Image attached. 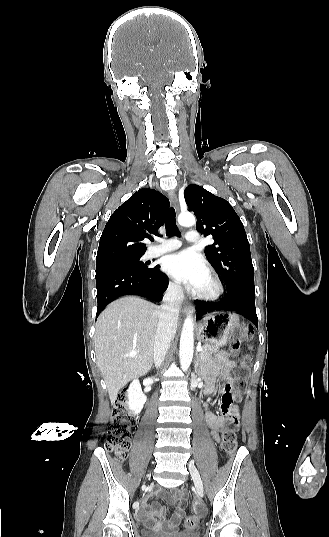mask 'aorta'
<instances>
[{"label": "aorta", "mask_w": 329, "mask_h": 537, "mask_svg": "<svg viewBox=\"0 0 329 537\" xmlns=\"http://www.w3.org/2000/svg\"><path fill=\"white\" fill-rule=\"evenodd\" d=\"M178 223L181 226H192L196 223L195 216L191 213H181L178 217ZM194 345V324L191 314H189L182 327L180 337V365L183 371L188 370L192 357Z\"/></svg>", "instance_id": "aorta-1"}]
</instances>
